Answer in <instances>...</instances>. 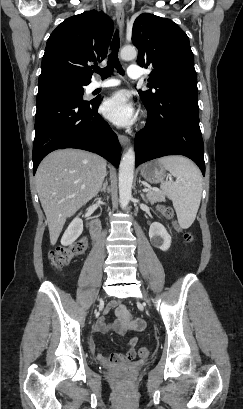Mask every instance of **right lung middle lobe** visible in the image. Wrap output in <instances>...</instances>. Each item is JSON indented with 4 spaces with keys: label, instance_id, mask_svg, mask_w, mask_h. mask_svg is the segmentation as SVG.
I'll list each match as a JSON object with an SVG mask.
<instances>
[{
    "label": "right lung middle lobe",
    "instance_id": "obj_1",
    "mask_svg": "<svg viewBox=\"0 0 243 409\" xmlns=\"http://www.w3.org/2000/svg\"><path fill=\"white\" fill-rule=\"evenodd\" d=\"M73 79L53 76L39 79L37 101L55 96H73L83 99L84 86Z\"/></svg>",
    "mask_w": 243,
    "mask_h": 409
}]
</instances>
